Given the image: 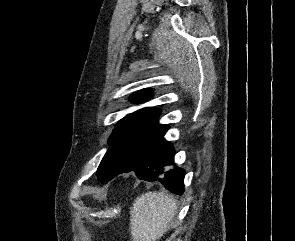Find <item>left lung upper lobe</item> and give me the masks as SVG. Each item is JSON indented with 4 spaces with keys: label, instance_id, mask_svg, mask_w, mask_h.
Returning a JSON list of instances; mask_svg holds the SVG:
<instances>
[{
    "label": "left lung upper lobe",
    "instance_id": "5c2ea615",
    "mask_svg": "<svg viewBox=\"0 0 295 241\" xmlns=\"http://www.w3.org/2000/svg\"><path fill=\"white\" fill-rule=\"evenodd\" d=\"M149 97V92L146 91L135 93L131 99L142 103ZM157 116V110L144 108L120 120L108 140L111 147L97 170V177L101 183L110 181L126 164L166 133L168 126L158 124Z\"/></svg>",
    "mask_w": 295,
    "mask_h": 241
}]
</instances>
